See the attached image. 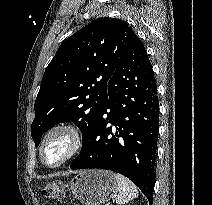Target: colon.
I'll return each instance as SVG.
<instances>
[{
  "label": "colon",
  "mask_w": 212,
  "mask_h": 205,
  "mask_svg": "<svg viewBox=\"0 0 212 205\" xmlns=\"http://www.w3.org/2000/svg\"><path fill=\"white\" fill-rule=\"evenodd\" d=\"M43 196L51 200H62L65 198V189L60 182L48 183L43 189Z\"/></svg>",
  "instance_id": "1"
}]
</instances>
